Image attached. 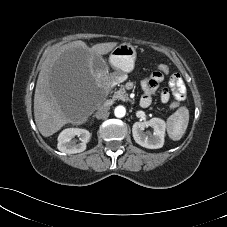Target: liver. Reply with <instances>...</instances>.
Returning a JSON list of instances; mask_svg holds the SVG:
<instances>
[{"mask_svg":"<svg viewBox=\"0 0 227 227\" xmlns=\"http://www.w3.org/2000/svg\"><path fill=\"white\" fill-rule=\"evenodd\" d=\"M117 42L98 43L91 48L81 40L52 51L42 65L34 95V117L44 137L72 122L70 102L79 99L84 87L98 81L93 57L108 54Z\"/></svg>","mask_w":227,"mask_h":227,"instance_id":"6515ba94","label":"liver"}]
</instances>
